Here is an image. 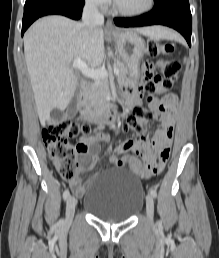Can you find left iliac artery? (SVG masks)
<instances>
[{
    "label": "left iliac artery",
    "mask_w": 219,
    "mask_h": 258,
    "mask_svg": "<svg viewBox=\"0 0 219 258\" xmlns=\"http://www.w3.org/2000/svg\"><path fill=\"white\" fill-rule=\"evenodd\" d=\"M149 192H150V194H151L154 198L157 197V191H156V189L150 188Z\"/></svg>",
    "instance_id": "1"
}]
</instances>
